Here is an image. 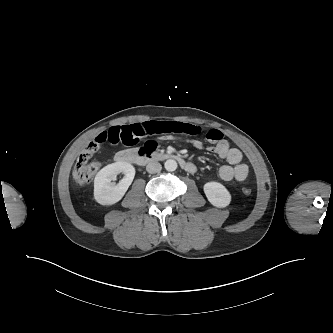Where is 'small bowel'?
Returning <instances> with one entry per match:
<instances>
[{"label": "small bowel", "mask_w": 333, "mask_h": 333, "mask_svg": "<svg viewBox=\"0 0 333 333\" xmlns=\"http://www.w3.org/2000/svg\"><path fill=\"white\" fill-rule=\"evenodd\" d=\"M202 133V129L193 124L178 121H148L134 123L123 126H115L108 131L103 132L97 138L101 142H110L112 144H123L125 146H134L139 141L150 135H160L161 139L180 136L181 139L189 142L198 150L203 148L201 140L196 136ZM206 139L212 144L208 150L216 154L221 159L226 160L227 164L219 169V176L224 181L237 180L244 181L249 174V167L242 162V153L239 149L230 147L218 130H210L206 133ZM190 173H195L197 167L190 163Z\"/></svg>", "instance_id": "1"}]
</instances>
